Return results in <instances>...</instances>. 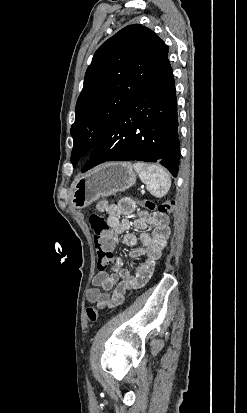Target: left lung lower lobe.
<instances>
[{
    "label": "left lung lower lobe",
    "mask_w": 247,
    "mask_h": 413,
    "mask_svg": "<svg viewBox=\"0 0 247 413\" xmlns=\"http://www.w3.org/2000/svg\"><path fill=\"white\" fill-rule=\"evenodd\" d=\"M179 153L175 84L166 58L93 148L82 172L107 161L140 160L158 162L176 177Z\"/></svg>",
    "instance_id": "left-lung-lower-lobe-1"
}]
</instances>
